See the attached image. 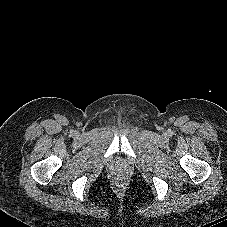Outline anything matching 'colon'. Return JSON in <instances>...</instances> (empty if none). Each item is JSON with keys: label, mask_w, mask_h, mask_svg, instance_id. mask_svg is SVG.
I'll return each instance as SVG.
<instances>
[{"label": "colon", "mask_w": 227, "mask_h": 227, "mask_svg": "<svg viewBox=\"0 0 227 227\" xmlns=\"http://www.w3.org/2000/svg\"><path fill=\"white\" fill-rule=\"evenodd\" d=\"M114 187L118 191L125 189L127 185V177L123 173H117L113 178Z\"/></svg>", "instance_id": "obj_1"}]
</instances>
